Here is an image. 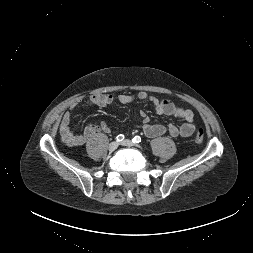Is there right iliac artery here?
Here are the masks:
<instances>
[{
	"mask_svg": "<svg viewBox=\"0 0 253 253\" xmlns=\"http://www.w3.org/2000/svg\"><path fill=\"white\" fill-rule=\"evenodd\" d=\"M124 135L123 134H120L116 137V141L120 142V141H123L124 140Z\"/></svg>",
	"mask_w": 253,
	"mask_h": 253,
	"instance_id": "1",
	"label": "right iliac artery"
}]
</instances>
